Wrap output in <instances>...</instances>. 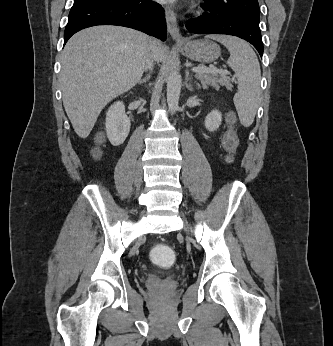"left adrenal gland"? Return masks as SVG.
<instances>
[{"label": "left adrenal gland", "instance_id": "1", "mask_svg": "<svg viewBox=\"0 0 333 346\" xmlns=\"http://www.w3.org/2000/svg\"><path fill=\"white\" fill-rule=\"evenodd\" d=\"M189 81H190V76H189V70L187 69L185 74V84L189 91H193L194 90L193 86L191 85V83H189Z\"/></svg>", "mask_w": 333, "mask_h": 346}]
</instances>
